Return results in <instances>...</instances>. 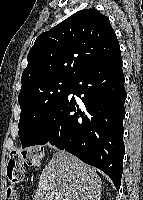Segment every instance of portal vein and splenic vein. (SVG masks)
<instances>
[{
	"label": "portal vein and splenic vein",
	"mask_w": 143,
	"mask_h": 200,
	"mask_svg": "<svg viewBox=\"0 0 143 200\" xmlns=\"http://www.w3.org/2000/svg\"><path fill=\"white\" fill-rule=\"evenodd\" d=\"M54 194H55L56 197H60V194H58V193H54Z\"/></svg>",
	"instance_id": "portal-vein-and-splenic-vein-1"
}]
</instances>
